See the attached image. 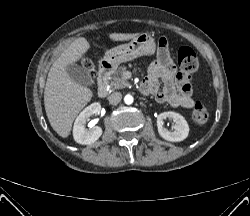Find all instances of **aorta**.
Masks as SVG:
<instances>
[{
	"instance_id": "762f6f07",
	"label": "aorta",
	"mask_w": 250,
	"mask_h": 216,
	"mask_svg": "<svg viewBox=\"0 0 250 216\" xmlns=\"http://www.w3.org/2000/svg\"><path fill=\"white\" fill-rule=\"evenodd\" d=\"M124 101L126 104L130 105L133 103V97L131 95H126L125 98H124Z\"/></svg>"
}]
</instances>
